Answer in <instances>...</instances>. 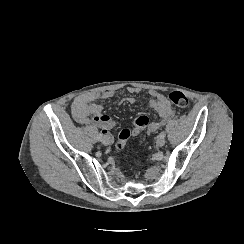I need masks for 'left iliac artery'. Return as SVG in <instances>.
<instances>
[{
	"label": "left iliac artery",
	"mask_w": 244,
	"mask_h": 244,
	"mask_svg": "<svg viewBox=\"0 0 244 244\" xmlns=\"http://www.w3.org/2000/svg\"><path fill=\"white\" fill-rule=\"evenodd\" d=\"M166 136V133L165 132H161L160 134H159V137H165Z\"/></svg>",
	"instance_id": "1"
}]
</instances>
